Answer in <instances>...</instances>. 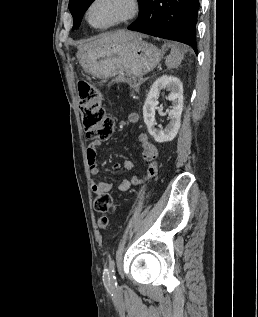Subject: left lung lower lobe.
Returning <instances> with one entry per match:
<instances>
[{"mask_svg": "<svg viewBox=\"0 0 258 317\" xmlns=\"http://www.w3.org/2000/svg\"><path fill=\"white\" fill-rule=\"evenodd\" d=\"M199 0H144L140 17L129 30L191 46L197 54L196 24Z\"/></svg>", "mask_w": 258, "mask_h": 317, "instance_id": "0a47b994", "label": "left lung lower lobe"}]
</instances>
